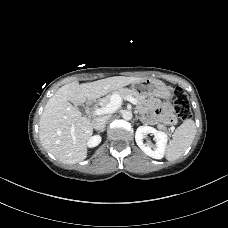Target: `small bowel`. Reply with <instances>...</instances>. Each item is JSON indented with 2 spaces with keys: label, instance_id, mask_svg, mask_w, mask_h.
<instances>
[{
  "label": "small bowel",
  "instance_id": "obj_1",
  "mask_svg": "<svg viewBox=\"0 0 228 228\" xmlns=\"http://www.w3.org/2000/svg\"><path fill=\"white\" fill-rule=\"evenodd\" d=\"M152 110L150 111L149 115L153 118H161L164 121H167L168 115V107L165 105H161L160 103H152Z\"/></svg>",
  "mask_w": 228,
  "mask_h": 228
}]
</instances>
